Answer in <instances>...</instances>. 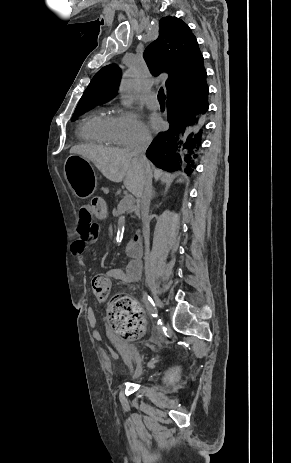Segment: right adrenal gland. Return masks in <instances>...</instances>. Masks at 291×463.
Masks as SVG:
<instances>
[{"instance_id":"obj_1","label":"right adrenal gland","mask_w":291,"mask_h":463,"mask_svg":"<svg viewBox=\"0 0 291 463\" xmlns=\"http://www.w3.org/2000/svg\"><path fill=\"white\" fill-rule=\"evenodd\" d=\"M152 196H153V197L155 196V192H154V191H153V193H152Z\"/></svg>"}]
</instances>
